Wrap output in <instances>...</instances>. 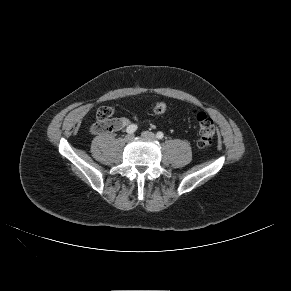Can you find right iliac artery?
<instances>
[{
    "mask_svg": "<svg viewBox=\"0 0 291 291\" xmlns=\"http://www.w3.org/2000/svg\"><path fill=\"white\" fill-rule=\"evenodd\" d=\"M137 128H138L137 125L131 124L126 128V132L132 134L137 130Z\"/></svg>",
    "mask_w": 291,
    "mask_h": 291,
    "instance_id": "82829eb1",
    "label": "right iliac artery"
}]
</instances>
